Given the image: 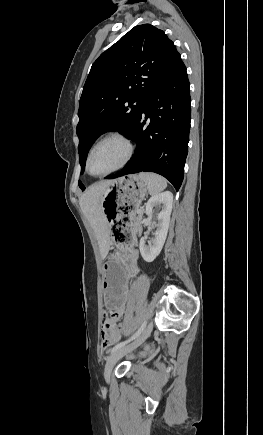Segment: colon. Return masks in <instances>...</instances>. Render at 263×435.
I'll use <instances>...</instances> for the list:
<instances>
[{"mask_svg":"<svg viewBox=\"0 0 263 435\" xmlns=\"http://www.w3.org/2000/svg\"><path fill=\"white\" fill-rule=\"evenodd\" d=\"M107 322V321H106ZM105 322V323H106ZM125 324L123 323V321H118V325H117V328L118 329H125L123 326H124ZM105 334H107L106 332H102V341H103V336L105 335ZM115 342V341H114Z\"/></svg>","mask_w":263,"mask_h":435,"instance_id":"5ec220e1","label":"colon"}]
</instances>
